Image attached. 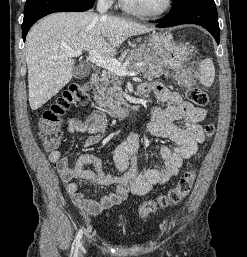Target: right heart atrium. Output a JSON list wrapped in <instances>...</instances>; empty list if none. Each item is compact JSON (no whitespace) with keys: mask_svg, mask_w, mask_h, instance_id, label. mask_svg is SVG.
Masks as SVG:
<instances>
[{"mask_svg":"<svg viewBox=\"0 0 247 257\" xmlns=\"http://www.w3.org/2000/svg\"><path fill=\"white\" fill-rule=\"evenodd\" d=\"M103 4L110 6L113 4L114 0H100Z\"/></svg>","mask_w":247,"mask_h":257,"instance_id":"d8ad5b80","label":"right heart atrium"}]
</instances>
